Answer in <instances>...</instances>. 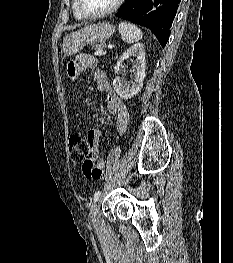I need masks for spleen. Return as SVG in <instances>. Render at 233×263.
<instances>
[{"label":"spleen","mask_w":233,"mask_h":263,"mask_svg":"<svg viewBox=\"0 0 233 263\" xmlns=\"http://www.w3.org/2000/svg\"><path fill=\"white\" fill-rule=\"evenodd\" d=\"M119 32L122 39L128 44L138 42L143 37L142 31L137 26L127 22L119 24Z\"/></svg>","instance_id":"3e777b00"}]
</instances>
